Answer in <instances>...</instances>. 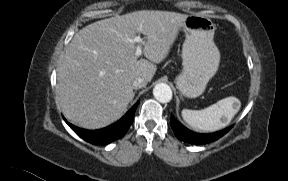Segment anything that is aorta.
<instances>
[{
  "label": "aorta",
  "mask_w": 288,
  "mask_h": 181,
  "mask_svg": "<svg viewBox=\"0 0 288 181\" xmlns=\"http://www.w3.org/2000/svg\"><path fill=\"white\" fill-rule=\"evenodd\" d=\"M153 95L161 103H168L172 99V90L169 85L159 83L153 88Z\"/></svg>",
  "instance_id": "aorta-1"
}]
</instances>
